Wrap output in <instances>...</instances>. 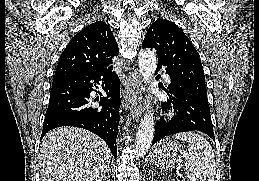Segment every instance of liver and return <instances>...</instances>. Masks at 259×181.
Here are the masks:
<instances>
[{
    "label": "liver",
    "mask_w": 259,
    "mask_h": 181,
    "mask_svg": "<svg viewBox=\"0 0 259 181\" xmlns=\"http://www.w3.org/2000/svg\"><path fill=\"white\" fill-rule=\"evenodd\" d=\"M38 159L41 181H102L111 152L92 132L60 127L44 136Z\"/></svg>",
    "instance_id": "liver-1"
}]
</instances>
